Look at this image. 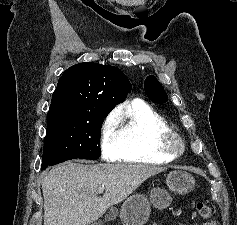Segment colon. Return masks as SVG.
Listing matches in <instances>:
<instances>
[{"instance_id":"colon-1","label":"colon","mask_w":237,"mask_h":225,"mask_svg":"<svg viewBox=\"0 0 237 225\" xmlns=\"http://www.w3.org/2000/svg\"><path fill=\"white\" fill-rule=\"evenodd\" d=\"M194 206L203 219L199 225H217L216 221L211 218V209L207 205L198 202L194 203Z\"/></svg>"}]
</instances>
